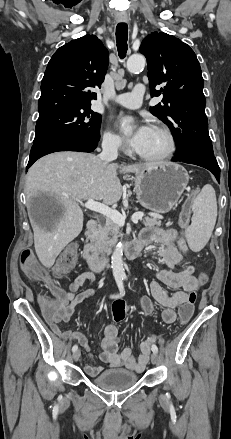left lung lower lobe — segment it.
Here are the masks:
<instances>
[{
    "mask_svg": "<svg viewBox=\"0 0 231 439\" xmlns=\"http://www.w3.org/2000/svg\"><path fill=\"white\" fill-rule=\"evenodd\" d=\"M171 161L185 162L204 167L211 171L218 181L220 180V168L214 154L211 152L190 150L181 154H175Z\"/></svg>",
    "mask_w": 231,
    "mask_h": 439,
    "instance_id": "0a47b994",
    "label": "left lung lower lobe"
}]
</instances>
